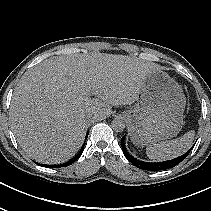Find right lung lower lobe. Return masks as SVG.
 <instances>
[{"label": "right lung lower lobe", "mask_w": 211, "mask_h": 211, "mask_svg": "<svg viewBox=\"0 0 211 211\" xmlns=\"http://www.w3.org/2000/svg\"><path fill=\"white\" fill-rule=\"evenodd\" d=\"M88 134H89V132H87L86 137H85V140L87 139ZM84 145H85V142H84L83 146L81 147V149L79 150V152L72 159H70L68 162H66L64 164L55 165V166L46 165V164H40V165L41 166H44V167H64V166L66 167V166H69V165H71L73 162H75L81 156V154L83 152V149H84Z\"/></svg>", "instance_id": "right-lung-lower-lobe-1"}]
</instances>
